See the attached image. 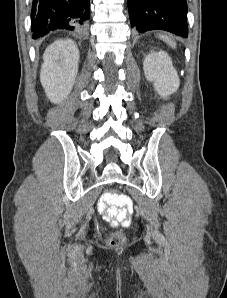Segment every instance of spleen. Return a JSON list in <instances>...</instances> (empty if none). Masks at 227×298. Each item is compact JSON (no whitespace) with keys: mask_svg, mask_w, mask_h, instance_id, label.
<instances>
[{"mask_svg":"<svg viewBox=\"0 0 227 298\" xmlns=\"http://www.w3.org/2000/svg\"><path fill=\"white\" fill-rule=\"evenodd\" d=\"M158 37L160 39H162L164 42H166L168 45H170L172 48L176 47V42L173 39H171L170 37L165 36V35H159Z\"/></svg>","mask_w":227,"mask_h":298,"instance_id":"1","label":"spleen"}]
</instances>
